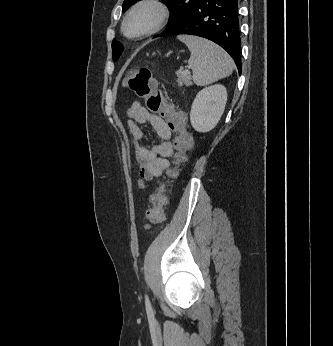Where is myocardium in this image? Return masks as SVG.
<instances>
[{"label": "myocardium", "instance_id": "f54148a6", "mask_svg": "<svg viewBox=\"0 0 333 346\" xmlns=\"http://www.w3.org/2000/svg\"><path fill=\"white\" fill-rule=\"evenodd\" d=\"M143 7H151L157 12V19L155 23L147 30L136 34H129L126 30V24L131 16ZM170 8L164 0H139L137 1L126 13L121 23L122 34L130 39H139L151 36L160 31L169 21Z\"/></svg>", "mask_w": 333, "mask_h": 346}]
</instances>
